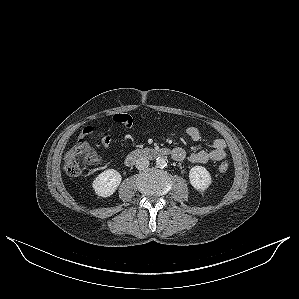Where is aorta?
Returning a JSON list of instances; mask_svg holds the SVG:
<instances>
[{
  "mask_svg": "<svg viewBox=\"0 0 299 299\" xmlns=\"http://www.w3.org/2000/svg\"><path fill=\"white\" fill-rule=\"evenodd\" d=\"M156 165H157V167H159V168H164V167H166V166H167V159L164 158V157H158V158L156 159Z\"/></svg>",
  "mask_w": 299,
  "mask_h": 299,
  "instance_id": "aorta-1",
  "label": "aorta"
}]
</instances>
